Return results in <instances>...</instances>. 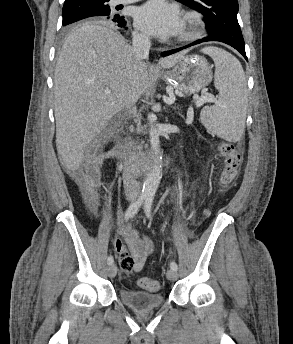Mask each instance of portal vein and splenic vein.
<instances>
[{"label": "portal vein and splenic vein", "mask_w": 293, "mask_h": 344, "mask_svg": "<svg viewBox=\"0 0 293 344\" xmlns=\"http://www.w3.org/2000/svg\"><path fill=\"white\" fill-rule=\"evenodd\" d=\"M105 93L106 94H109L110 93V90L109 89H106L105 90ZM174 99V97H173V95L170 97V100H173ZM193 99L194 100H196V105H197V107H200L201 105H203L205 102H207V101H213V97H211V96H206V95H203V96H197V95H195L194 97H193Z\"/></svg>", "instance_id": "18ae733b"}]
</instances>
